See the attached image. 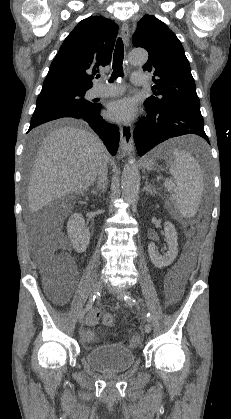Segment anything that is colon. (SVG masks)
<instances>
[{
  "label": "colon",
  "mask_w": 231,
  "mask_h": 419,
  "mask_svg": "<svg viewBox=\"0 0 231 419\" xmlns=\"http://www.w3.org/2000/svg\"><path fill=\"white\" fill-rule=\"evenodd\" d=\"M43 273L48 284L55 288L57 286L64 287L65 290L69 288V282L74 277V270L71 263L60 252H49L43 258ZM103 324L108 327H113L116 319L112 314L105 313L102 317ZM132 346L139 345V339L133 338L131 340Z\"/></svg>",
  "instance_id": "obj_1"
}]
</instances>
